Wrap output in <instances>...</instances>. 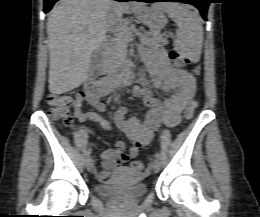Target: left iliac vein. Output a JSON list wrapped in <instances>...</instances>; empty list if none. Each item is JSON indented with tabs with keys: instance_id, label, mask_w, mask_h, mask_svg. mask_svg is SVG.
<instances>
[{
	"instance_id": "1",
	"label": "left iliac vein",
	"mask_w": 260,
	"mask_h": 217,
	"mask_svg": "<svg viewBox=\"0 0 260 217\" xmlns=\"http://www.w3.org/2000/svg\"><path fill=\"white\" fill-rule=\"evenodd\" d=\"M151 168L154 172H159L160 170V162L158 159H154L153 162L151 163Z\"/></svg>"
}]
</instances>
